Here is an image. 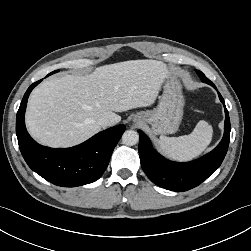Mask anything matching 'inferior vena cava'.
I'll return each mask as SVG.
<instances>
[{"label": "inferior vena cava", "mask_w": 251, "mask_h": 251, "mask_svg": "<svg viewBox=\"0 0 251 251\" xmlns=\"http://www.w3.org/2000/svg\"><path fill=\"white\" fill-rule=\"evenodd\" d=\"M97 124L102 127V128H106L108 126H111L113 125L112 121L107 118V117H100L98 120H97Z\"/></svg>", "instance_id": "inferior-vena-cava-1"}]
</instances>
